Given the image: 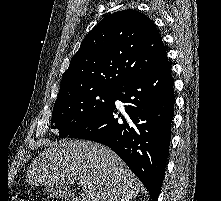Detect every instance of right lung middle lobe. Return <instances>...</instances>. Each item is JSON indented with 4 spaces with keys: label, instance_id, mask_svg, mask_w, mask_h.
<instances>
[{
    "label": "right lung middle lobe",
    "instance_id": "dd1d6c3e",
    "mask_svg": "<svg viewBox=\"0 0 221 201\" xmlns=\"http://www.w3.org/2000/svg\"><path fill=\"white\" fill-rule=\"evenodd\" d=\"M113 89L93 88L58 98L52 115V128L59 130L61 138L86 124L104 111L112 102Z\"/></svg>",
    "mask_w": 221,
    "mask_h": 201
}]
</instances>
